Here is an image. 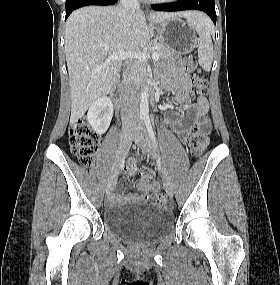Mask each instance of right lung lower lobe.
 <instances>
[{"label":"right lung lower lobe","instance_id":"obj_1","mask_svg":"<svg viewBox=\"0 0 280 285\" xmlns=\"http://www.w3.org/2000/svg\"><path fill=\"white\" fill-rule=\"evenodd\" d=\"M118 0H66L65 20L75 9L87 5H114Z\"/></svg>","mask_w":280,"mask_h":285}]
</instances>
